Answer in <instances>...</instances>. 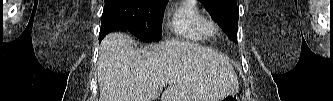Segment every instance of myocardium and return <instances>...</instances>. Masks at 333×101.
<instances>
[{"instance_id": "1", "label": "myocardium", "mask_w": 333, "mask_h": 101, "mask_svg": "<svg viewBox=\"0 0 333 101\" xmlns=\"http://www.w3.org/2000/svg\"><path fill=\"white\" fill-rule=\"evenodd\" d=\"M207 24L211 33L215 34L219 31V25L214 19L208 18Z\"/></svg>"}]
</instances>
